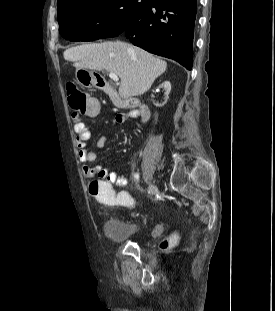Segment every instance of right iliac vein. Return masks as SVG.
<instances>
[{
	"instance_id": "1",
	"label": "right iliac vein",
	"mask_w": 275,
	"mask_h": 311,
	"mask_svg": "<svg viewBox=\"0 0 275 311\" xmlns=\"http://www.w3.org/2000/svg\"><path fill=\"white\" fill-rule=\"evenodd\" d=\"M157 192V187L154 184H149V193L154 195Z\"/></svg>"
}]
</instances>
